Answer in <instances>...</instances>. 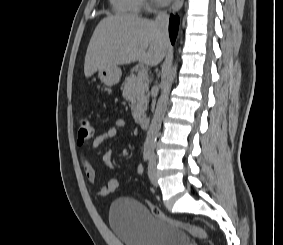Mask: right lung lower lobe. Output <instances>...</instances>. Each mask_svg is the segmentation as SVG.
<instances>
[{"mask_svg":"<svg viewBox=\"0 0 283 245\" xmlns=\"http://www.w3.org/2000/svg\"><path fill=\"white\" fill-rule=\"evenodd\" d=\"M178 26H179L178 16L174 17L173 15H171L169 22V34L172 44H174L175 38L177 36Z\"/></svg>","mask_w":283,"mask_h":245,"instance_id":"obj_1","label":"right lung lower lobe"}]
</instances>
